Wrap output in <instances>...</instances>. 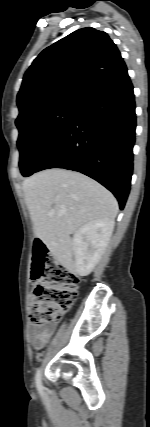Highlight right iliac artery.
Returning <instances> with one entry per match:
<instances>
[{
  "label": "right iliac artery",
  "mask_w": 150,
  "mask_h": 427,
  "mask_svg": "<svg viewBox=\"0 0 150 427\" xmlns=\"http://www.w3.org/2000/svg\"><path fill=\"white\" fill-rule=\"evenodd\" d=\"M35 382H36V387H37L39 393L43 394V386H42V381H41V371H40V369H38L37 372H36Z\"/></svg>",
  "instance_id": "obj_1"
}]
</instances>
